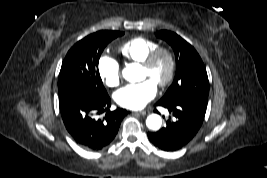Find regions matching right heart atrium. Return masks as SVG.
Returning a JSON list of instances; mask_svg holds the SVG:
<instances>
[{
    "label": "right heart atrium",
    "instance_id": "obj_1",
    "mask_svg": "<svg viewBox=\"0 0 267 178\" xmlns=\"http://www.w3.org/2000/svg\"><path fill=\"white\" fill-rule=\"evenodd\" d=\"M98 74L102 82L109 88H115L121 81V68L118 61L107 54L98 60Z\"/></svg>",
    "mask_w": 267,
    "mask_h": 178
}]
</instances>
